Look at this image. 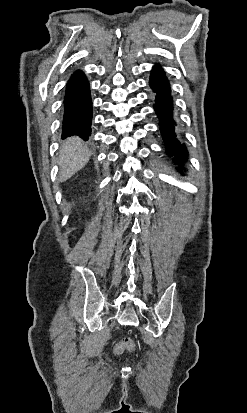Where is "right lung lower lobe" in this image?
Masks as SVG:
<instances>
[{
	"mask_svg": "<svg viewBox=\"0 0 247 413\" xmlns=\"http://www.w3.org/2000/svg\"><path fill=\"white\" fill-rule=\"evenodd\" d=\"M92 101L89 83L81 71L69 79L64 95L62 139L79 135L88 140L91 134Z\"/></svg>",
	"mask_w": 247,
	"mask_h": 413,
	"instance_id": "obj_1",
	"label": "right lung lower lobe"
}]
</instances>
